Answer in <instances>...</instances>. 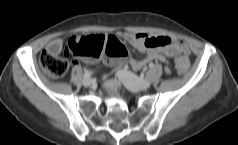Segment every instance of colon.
<instances>
[{"mask_svg":"<svg viewBox=\"0 0 238 145\" xmlns=\"http://www.w3.org/2000/svg\"><path fill=\"white\" fill-rule=\"evenodd\" d=\"M68 50L75 56L87 60L105 58L110 65H121L128 60V50L125 45L114 36L88 35L75 36L69 40ZM178 73H184L189 68L188 58L184 55L175 59ZM40 66L54 77L63 76L69 66L64 57H59L44 50L39 57Z\"/></svg>","mask_w":238,"mask_h":145,"instance_id":"obj_1","label":"colon"}]
</instances>
